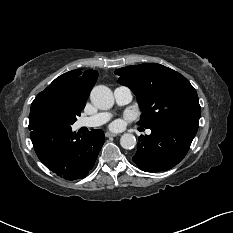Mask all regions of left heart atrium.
<instances>
[{"label":"left heart atrium","instance_id":"1","mask_svg":"<svg viewBox=\"0 0 233 233\" xmlns=\"http://www.w3.org/2000/svg\"><path fill=\"white\" fill-rule=\"evenodd\" d=\"M118 126H119V123H118V122H115V123L112 124V127H114V128H116V127H118Z\"/></svg>","mask_w":233,"mask_h":233}]
</instances>
